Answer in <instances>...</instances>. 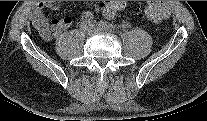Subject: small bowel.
<instances>
[{
    "label": "small bowel",
    "instance_id": "obj_1",
    "mask_svg": "<svg viewBox=\"0 0 207 121\" xmlns=\"http://www.w3.org/2000/svg\"><path fill=\"white\" fill-rule=\"evenodd\" d=\"M125 5L126 3L123 1H106L102 3L101 7L105 17L114 18L125 8ZM58 8L59 3L46 1L38 3L31 13L34 28L45 41H49L53 37L60 35L72 24V19L68 16L61 19H53L51 22L48 21L45 16V10H56Z\"/></svg>",
    "mask_w": 207,
    "mask_h": 121
}]
</instances>
